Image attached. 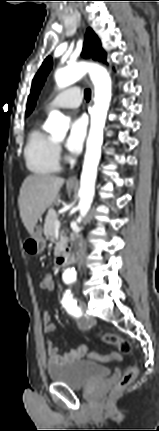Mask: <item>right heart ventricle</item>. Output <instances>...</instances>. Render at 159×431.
I'll use <instances>...</instances> for the list:
<instances>
[{"label":"right heart ventricle","mask_w":159,"mask_h":431,"mask_svg":"<svg viewBox=\"0 0 159 431\" xmlns=\"http://www.w3.org/2000/svg\"><path fill=\"white\" fill-rule=\"evenodd\" d=\"M24 159L27 168L35 174L49 175L60 170L56 144L38 126L33 127L28 134Z\"/></svg>","instance_id":"right-heart-ventricle-1"}]
</instances>
